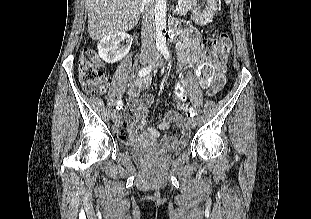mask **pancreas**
<instances>
[{"label":"pancreas","mask_w":311,"mask_h":219,"mask_svg":"<svg viewBox=\"0 0 311 219\" xmlns=\"http://www.w3.org/2000/svg\"><path fill=\"white\" fill-rule=\"evenodd\" d=\"M177 7H178V10L187 12L192 7V0H179Z\"/></svg>","instance_id":"pancreas-1"}]
</instances>
